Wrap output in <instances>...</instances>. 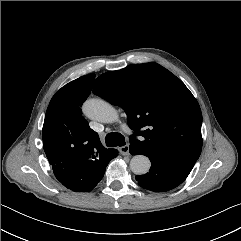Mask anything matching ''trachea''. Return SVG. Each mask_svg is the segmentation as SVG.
<instances>
[{
  "mask_svg": "<svg viewBox=\"0 0 241 241\" xmlns=\"http://www.w3.org/2000/svg\"><path fill=\"white\" fill-rule=\"evenodd\" d=\"M105 142L108 147H114V146H124L125 145V139L124 136L117 132H112L106 135Z\"/></svg>",
  "mask_w": 241,
  "mask_h": 241,
  "instance_id": "1",
  "label": "trachea"
}]
</instances>
